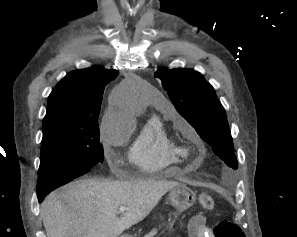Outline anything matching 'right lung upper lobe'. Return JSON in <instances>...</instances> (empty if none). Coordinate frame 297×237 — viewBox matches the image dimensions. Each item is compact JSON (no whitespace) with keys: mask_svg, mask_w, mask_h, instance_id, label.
<instances>
[{"mask_svg":"<svg viewBox=\"0 0 297 237\" xmlns=\"http://www.w3.org/2000/svg\"><path fill=\"white\" fill-rule=\"evenodd\" d=\"M117 75V70L100 66L67 74L48 97L43 125L58 120L98 121L105 86Z\"/></svg>","mask_w":297,"mask_h":237,"instance_id":"obj_1","label":"right lung upper lobe"}]
</instances>
